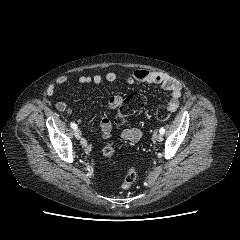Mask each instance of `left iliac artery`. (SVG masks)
<instances>
[{"label":"left iliac artery","instance_id":"1","mask_svg":"<svg viewBox=\"0 0 240 240\" xmlns=\"http://www.w3.org/2000/svg\"><path fill=\"white\" fill-rule=\"evenodd\" d=\"M159 132H160V134L163 135L165 133V129L162 127V128H160Z\"/></svg>","mask_w":240,"mask_h":240}]
</instances>
